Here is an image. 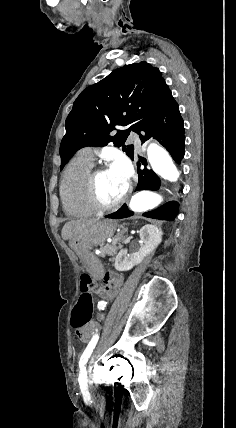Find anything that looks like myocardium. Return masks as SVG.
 Wrapping results in <instances>:
<instances>
[{
	"label": "myocardium",
	"mask_w": 236,
	"mask_h": 428,
	"mask_svg": "<svg viewBox=\"0 0 236 428\" xmlns=\"http://www.w3.org/2000/svg\"><path fill=\"white\" fill-rule=\"evenodd\" d=\"M109 169H111V165H101L89 174L86 182L88 201L98 211H109L121 207L130 198L133 192V183L131 178H129L128 187L123 196L115 202H105L99 194L98 182L101 176Z\"/></svg>",
	"instance_id": "1"
}]
</instances>
